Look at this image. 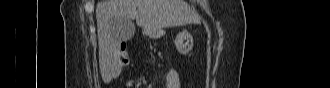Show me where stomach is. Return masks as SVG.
Masks as SVG:
<instances>
[{
    "instance_id": "0dacf381",
    "label": "stomach",
    "mask_w": 330,
    "mask_h": 88,
    "mask_svg": "<svg viewBox=\"0 0 330 88\" xmlns=\"http://www.w3.org/2000/svg\"><path fill=\"white\" fill-rule=\"evenodd\" d=\"M149 35H150V37H156V35H157L156 30H153L152 32H150ZM175 45L177 47V50L181 54L189 53L193 48V39H192L191 34L189 32H187L186 30L179 32L175 39Z\"/></svg>"
}]
</instances>
